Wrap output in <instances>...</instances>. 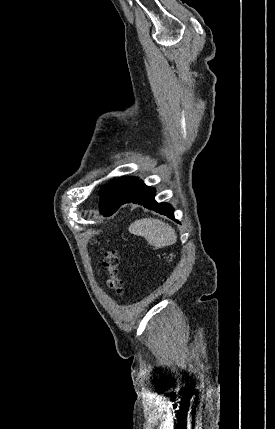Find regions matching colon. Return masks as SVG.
Segmentation results:
<instances>
[{
	"instance_id": "colon-1",
	"label": "colon",
	"mask_w": 275,
	"mask_h": 429,
	"mask_svg": "<svg viewBox=\"0 0 275 429\" xmlns=\"http://www.w3.org/2000/svg\"><path fill=\"white\" fill-rule=\"evenodd\" d=\"M119 255L116 249L109 248L106 250L103 265L108 271V285L116 295L123 293V281L119 277Z\"/></svg>"
}]
</instances>
